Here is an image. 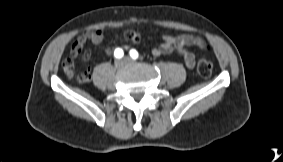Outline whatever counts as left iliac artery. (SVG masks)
Returning <instances> with one entry per match:
<instances>
[{
  "mask_svg": "<svg viewBox=\"0 0 283 162\" xmlns=\"http://www.w3.org/2000/svg\"><path fill=\"white\" fill-rule=\"evenodd\" d=\"M130 56L133 59H137L139 55H138V52L135 49H132V50H130Z\"/></svg>",
  "mask_w": 283,
  "mask_h": 162,
  "instance_id": "44dca946",
  "label": "left iliac artery"
}]
</instances>
